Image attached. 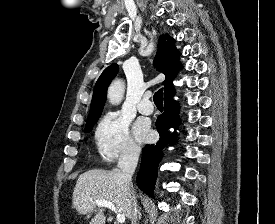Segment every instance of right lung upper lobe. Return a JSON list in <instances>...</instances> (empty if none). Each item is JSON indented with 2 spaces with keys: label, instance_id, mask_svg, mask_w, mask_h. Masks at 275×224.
<instances>
[{
  "label": "right lung upper lobe",
  "instance_id": "1",
  "mask_svg": "<svg viewBox=\"0 0 275 224\" xmlns=\"http://www.w3.org/2000/svg\"><path fill=\"white\" fill-rule=\"evenodd\" d=\"M179 52L174 46V39L169 35L160 37L158 43V52L155 58V66L159 71L165 74L164 93L173 88L172 81L176 72L181 67L178 61ZM118 72V65L112 64L107 67L98 78L94 87L90 112L87 118V123L97 120L104 107L106 101L107 88L112 79ZM86 123V124H87Z\"/></svg>",
  "mask_w": 275,
  "mask_h": 224
}]
</instances>
